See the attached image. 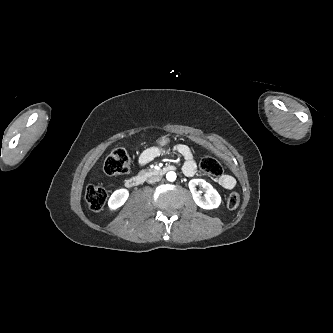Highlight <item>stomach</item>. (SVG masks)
<instances>
[{"label": "stomach", "instance_id": "0dacf381", "mask_svg": "<svg viewBox=\"0 0 333 333\" xmlns=\"http://www.w3.org/2000/svg\"><path fill=\"white\" fill-rule=\"evenodd\" d=\"M169 143V140L167 138H162L160 141H159V145L162 146V147H166Z\"/></svg>", "mask_w": 333, "mask_h": 333}]
</instances>
